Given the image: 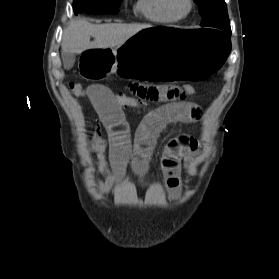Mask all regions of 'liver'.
<instances>
[{"label": "liver", "mask_w": 279, "mask_h": 279, "mask_svg": "<svg viewBox=\"0 0 279 279\" xmlns=\"http://www.w3.org/2000/svg\"><path fill=\"white\" fill-rule=\"evenodd\" d=\"M152 27L148 24H91L84 19L71 21L63 32L62 52L80 54L86 50L114 48L141 30ZM93 37L94 41H90Z\"/></svg>", "instance_id": "liver-1"}]
</instances>
